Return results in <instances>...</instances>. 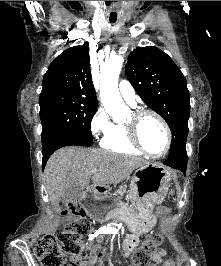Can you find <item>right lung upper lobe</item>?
<instances>
[{"mask_svg":"<svg viewBox=\"0 0 221 266\" xmlns=\"http://www.w3.org/2000/svg\"><path fill=\"white\" fill-rule=\"evenodd\" d=\"M47 90L77 94L97 104L91 79L88 42L65 50L49 65L42 82V91Z\"/></svg>","mask_w":221,"mask_h":266,"instance_id":"obj_1","label":"right lung upper lobe"}]
</instances>
